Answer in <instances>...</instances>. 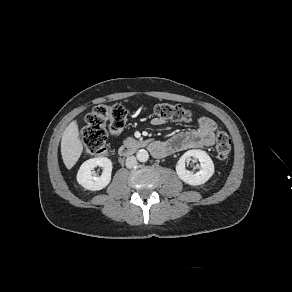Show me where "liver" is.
<instances>
[{"mask_svg":"<svg viewBox=\"0 0 292 292\" xmlns=\"http://www.w3.org/2000/svg\"><path fill=\"white\" fill-rule=\"evenodd\" d=\"M83 151V145L79 138L77 121H72L64 130L61 139V155L67 169H71Z\"/></svg>","mask_w":292,"mask_h":292,"instance_id":"1","label":"liver"}]
</instances>
